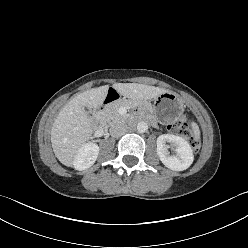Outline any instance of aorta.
<instances>
[{"label":"aorta","instance_id":"obj_1","mask_svg":"<svg viewBox=\"0 0 248 248\" xmlns=\"http://www.w3.org/2000/svg\"><path fill=\"white\" fill-rule=\"evenodd\" d=\"M137 130L140 133L146 132L148 130V124L146 122H143V121L139 122L137 124Z\"/></svg>","mask_w":248,"mask_h":248}]
</instances>
